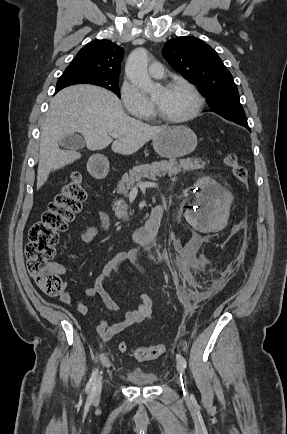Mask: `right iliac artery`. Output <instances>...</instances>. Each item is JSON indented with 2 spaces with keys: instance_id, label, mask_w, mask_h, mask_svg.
I'll return each mask as SVG.
<instances>
[{
  "instance_id": "obj_1",
  "label": "right iliac artery",
  "mask_w": 287,
  "mask_h": 434,
  "mask_svg": "<svg viewBox=\"0 0 287 434\" xmlns=\"http://www.w3.org/2000/svg\"><path fill=\"white\" fill-rule=\"evenodd\" d=\"M97 377H98V369H96L92 373V376H91L89 382L86 385V390L90 391L89 392V397L90 398L93 397V393H94V388H95V383H96Z\"/></svg>"
}]
</instances>
